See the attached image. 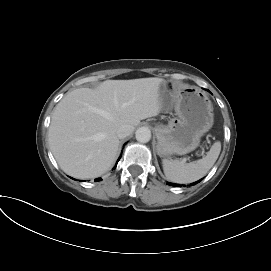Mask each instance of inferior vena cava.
<instances>
[{"mask_svg": "<svg viewBox=\"0 0 271 271\" xmlns=\"http://www.w3.org/2000/svg\"><path fill=\"white\" fill-rule=\"evenodd\" d=\"M131 132H132V130L129 125H121L117 129L116 134H117L118 138L122 139V138L129 136L131 134Z\"/></svg>", "mask_w": 271, "mask_h": 271, "instance_id": "obj_1", "label": "inferior vena cava"}]
</instances>
